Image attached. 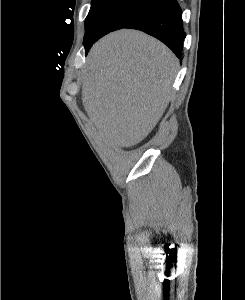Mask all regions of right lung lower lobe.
<instances>
[{
  "instance_id": "obj_1",
  "label": "right lung lower lobe",
  "mask_w": 245,
  "mask_h": 300,
  "mask_svg": "<svg viewBox=\"0 0 245 300\" xmlns=\"http://www.w3.org/2000/svg\"><path fill=\"white\" fill-rule=\"evenodd\" d=\"M124 28L141 30L165 43L181 57L184 38L182 10L176 0H167L129 23ZM92 45L85 47L86 54Z\"/></svg>"
}]
</instances>
